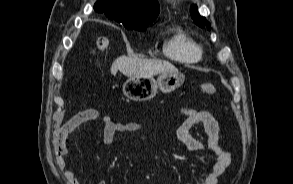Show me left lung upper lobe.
I'll list each match as a JSON object with an SVG mask.
<instances>
[{"label": "left lung upper lobe", "mask_w": 293, "mask_h": 184, "mask_svg": "<svg viewBox=\"0 0 293 184\" xmlns=\"http://www.w3.org/2000/svg\"><path fill=\"white\" fill-rule=\"evenodd\" d=\"M190 12H191V16H192L194 22L198 26H200L201 28L206 27L208 30L211 29L210 22H208L205 17H202V16L199 15L198 9H197V6L196 5H194V6L191 7Z\"/></svg>", "instance_id": "obj_1"}]
</instances>
